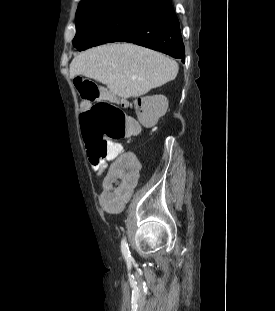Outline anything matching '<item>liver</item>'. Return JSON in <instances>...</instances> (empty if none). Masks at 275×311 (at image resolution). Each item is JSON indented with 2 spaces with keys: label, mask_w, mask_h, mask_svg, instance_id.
Here are the masks:
<instances>
[{
  "label": "liver",
  "mask_w": 275,
  "mask_h": 311,
  "mask_svg": "<svg viewBox=\"0 0 275 311\" xmlns=\"http://www.w3.org/2000/svg\"><path fill=\"white\" fill-rule=\"evenodd\" d=\"M178 70V63L161 53L123 43L82 52L70 64V77L95 79L115 95L130 98L174 80Z\"/></svg>",
  "instance_id": "obj_1"
}]
</instances>
